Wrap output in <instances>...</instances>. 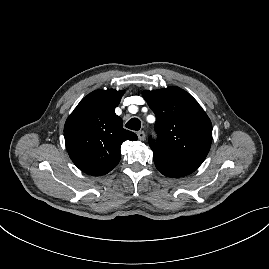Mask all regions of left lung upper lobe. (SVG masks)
Masks as SVG:
<instances>
[{"instance_id": "1", "label": "left lung upper lobe", "mask_w": 269, "mask_h": 269, "mask_svg": "<svg viewBox=\"0 0 269 269\" xmlns=\"http://www.w3.org/2000/svg\"><path fill=\"white\" fill-rule=\"evenodd\" d=\"M143 97L156 115L158 138L149 139L153 155L202 163L210 150L212 124L198 102L178 87L145 90Z\"/></svg>"}]
</instances>
